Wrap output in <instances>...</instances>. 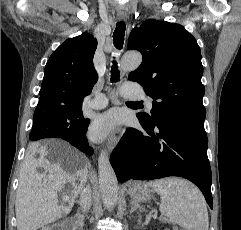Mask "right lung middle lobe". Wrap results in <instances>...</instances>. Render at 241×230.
Returning a JSON list of instances; mask_svg holds the SVG:
<instances>
[{
	"label": "right lung middle lobe",
	"mask_w": 241,
	"mask_h": 230,
	"mask_svg": "<svg viewBox=\"0 0 241 230\" xmlns=\"http://www.w3.org/2000/svg\"><path fill=\"white\" fill-rule=\"evenodd\" d=\"M40 127L35 133H30V139L37 141L43 138H54L51 133H81L89 124L85 119L82 107L56 108L45 111L39 115L34 114V122ZM49 130V131H48Z\"/></svg>",
	"instance_id": "right-lung-middle-lobe-1"
}]
</instances>
